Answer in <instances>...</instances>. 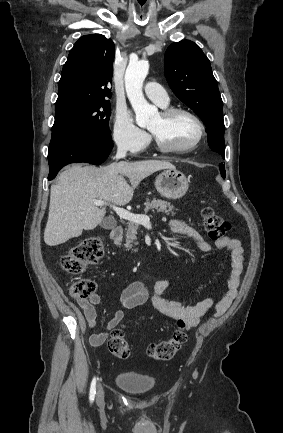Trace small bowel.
Returning a JSON list of instances; mask_svg holds the SVG:
<instances>
[{
    "label": "small bowel",
    "instance_id": "1",
    "mask_svg": "<svg viewBox=\"0 0 283 433\" xmlns=\"http://www.w3.org/2000/svg\"><path fill=\"white\" fill-rule=\"evenodd\" d=\"M169 228L173 233L191 238L198 249L203 252H208L212 248L205 237L183 220H171ZM215 247L218 250H228L231 253L232 269L228 279V289L221 299L216 301L213 298H206L194 305H185L180 301L168 300L163 297L171 285L169 279L156 281L151 290L142 281H133L119 294V307L106 324L105 329L90 336V344L95 347L104 344L111 331L123 320L125 310L134 309L148 302L167 318L183 321L188 329L198 326L201 317L212 308L215 309V317L223 315L238 293L243 272L244 249L240 240L229 237L216 241ZM100 301L101 297L98 293L91 294L87 299L76 300L81 310V313H77V319L81 325L87 324L92 329L97 326L96 306Z\"/></svg>",
    "mask_w": 283,
    "mask_h": 433
}]
</instances>
